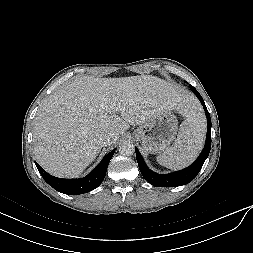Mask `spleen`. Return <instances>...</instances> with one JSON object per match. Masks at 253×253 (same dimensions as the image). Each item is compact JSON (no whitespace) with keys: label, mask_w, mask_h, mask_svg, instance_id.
<instances>
[{"label":"spleen","mask_w":253,"mask_h":253,"mask_svg":"<svg viewBox=\"0 0 253 253\" xmlns=\"http://www.w3.org/2000/svg\"><path fill=\"white\" fill-rule=\"evenodd\" d=\"M205 133V118L198 106L191 101L174 144L157 156V162L170 169H180L188 166L201 151Z\"/></svg>","instance_id":"3e777b00"}]
</instances>
